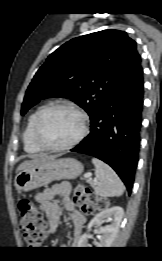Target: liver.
<instances>
[{"label":"liver","mask_w":162,"mask_h":261,"mask_svg":"<svg viewBox=\"0 0 162 261\" xmlns=\"http://www.w3.org/2000/svg\"><path fill=\"white\" fill-rule=\"evenodd\" d=\"M50 157L48 155H39L34 157L32 160H26L24 162H22L17 170H22V169H27V168H31L33 166H36L37 164H39L42 160H44L45 158Z\"/></svg>","instance_id":"6515ba94"}]
</instances>
